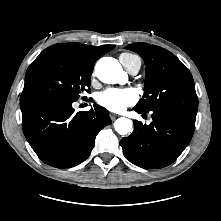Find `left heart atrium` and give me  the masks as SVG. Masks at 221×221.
<instances>
[{
    "label": "left heart atrium",
    "instance_id": "39dd6f15",
    "mask_svg": "<svg viewBox=\"0 0 221 221\" xmlns=\"http://www.w3.org/2000/svg\"><path fill=\"white\" fill-rule=\"evenodd\" d=\"M138 99L136 91L132 88H109L100 92L97 102L100 106L112 112H122L133 105Z\"/></svg>",
    "mask_w": 221,
    "mask_h": 221
}]
</instances>
